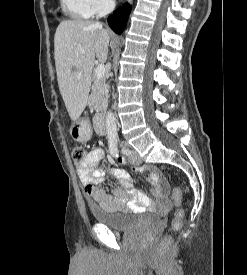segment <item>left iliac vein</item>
<instances>
[{"label": "left iliac vein", "mask_w": 247, "mask_h": 275, "mask_svg": "<svg viewBox=\"0 0 247 275\" xmlns=\"http://www.w3.org/2000/svg\"><path fill=\"white\" fill-rule=\"evenodd\" d=\"M129 162L131 164H135L138 165L141 163L140 157L138 155V153L135 150H129Z\"/></svg>", "instance_id": "left-iliac-vein-1"}]
</instances>
